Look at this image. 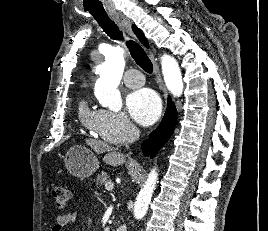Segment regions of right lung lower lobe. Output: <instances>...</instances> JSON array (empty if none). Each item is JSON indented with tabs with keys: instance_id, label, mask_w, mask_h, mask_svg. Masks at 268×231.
Instances as JSON below:
<instances>
[{
	"instance_id": "98d812e1",
	"label": "right lung lower lobe",
	"mask_w": 268,
	"mask_h": 231,
	"mask_svg": "<svg viewBox=\"0 0 268 231\" xmlns=\"http://www.w3.org/2000/svg\"><path fill=\"white\" fill-rule=\"evenodd\" d=\"M177 122V110L170 98H168L167 110L162 122L153 131L149 138L142 144L143 153L154 157L156 153L172 136Z\"/></svg>"
}]
</instances>
